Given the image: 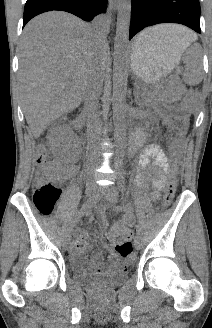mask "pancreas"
<instances>
[{
	"mask_svg": "<svg viewBox=\"0 0 212 328\" xmlns=\"http://www.w3.org/2000/svg\"><path fill=\"white\" fill-rule=\"evenodd\" d=\"M153 95L152 94H150V95H148L146 98H145V100H144V102H140V104H143V103H151V102H153Z\"/></svg>",
	"mask_w": 212,
	"mask_h": 328,
	"instance_id": "pancreas-1",
	"label": "pancreas"
}]
</instances>
